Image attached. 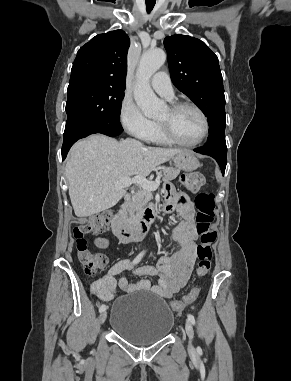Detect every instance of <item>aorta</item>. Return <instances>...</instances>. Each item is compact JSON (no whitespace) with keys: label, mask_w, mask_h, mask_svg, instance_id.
<instances>
[{"label":"aorta","mask_w":291,"mask_h":381,"mask_svg":"<svg viewBox=\"0 0 291 381\" xmlns=\"http://www.w3.org/2000/svg\"><path fill=\"white\" fill-rule=\"evenodd\" d=\"M165 59L166 55L162 49L148 50L142 54L136 71L134 99L148 118L158 116L164 107V102L158 99L151 89L150 78L164 64Z\"/></svg>","instance_id":"obj_1"}]
</instances>
